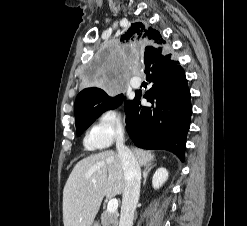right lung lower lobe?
<instances>
[{
  "label": "right lung lower lobe",
  "mask_w": 247,
  "mask_h": 226,
  "mask_svg": "<svg viewBox=\"0 0 247 226\" xmlns=\"http://www.w3.org/2000/svg\"><path fill=\"white\" fill-rule=\"evenodd\" d=\"M144 61L153 86L126 102L127 132L138 147L168 150L183 162L192 113L185 72L165 44L148 50ZM141 97L152 106H139Z\"/></svg>",
  "instance_id": "right-lung-lower-lobe-1"
}]
</instances>
